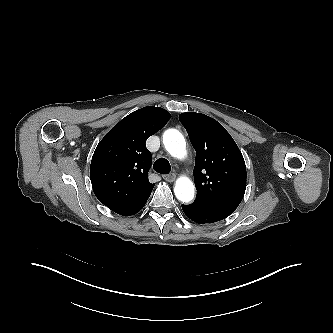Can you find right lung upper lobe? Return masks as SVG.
Returning <instances> with one entry per match:
<instances>
[{
    "mask_svg": "<svg viewBox=\"0 0 333 333\" xmlns=\"http://www.w3.org/2000/svg\"><path fill=\"white\" fill-rule=\"evenodd\" d=\"M170 116L163 108L144 107L123 118L98 144L90 179L98 200L115 213L133 215L148 200L154 184L148 180L152 155L145 142Z\"/></svg>",
    "mask_w": 333,
    "mask_h": 333,
    "instance_id": "right-lung-upper-lobe-1",
    "label": "right lung upper lobe"
}]
</instances>
